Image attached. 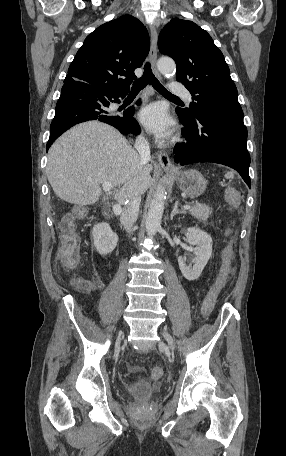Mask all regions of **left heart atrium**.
<instances>
[{
  "instance_id": "left-heart-atrium-1",
  "label": "left heart atrium",
  "mask_w": 286,
  "mask_h": 456,
  "mask_svg": "<svg viewBox=\"0 0 286 456\" xmlns=\"http://www.w3.org/2000/svg\"><path fill=\"white\" fill-rule=\"evenodd\" d=\"M141 123L158 137H167L173 129V121L166 107L153 103L143 108L139 115Z\"/></svg>"
}]
</instances>
